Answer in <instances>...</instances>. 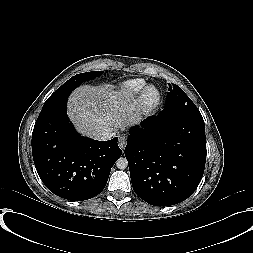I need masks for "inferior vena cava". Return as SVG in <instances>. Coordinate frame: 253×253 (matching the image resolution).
<instances>
[{
  "label": "inferior vena cava",
  "mask_w": 253,
  "mask_h": 253,
  "mask_svg": "<svg viewBox=\"0 0 253 253\" xmlns=\"http://www.w3.org/2000/svg\"><path fill=\"white\" fill-rule=\"evenodd\" d=\"M115 135L114 132H102L100 134H97L95 136V139L100 141H107L110 140Z\"/></svg>",
  "instance_id": "obj_1"
}]
</instances>
